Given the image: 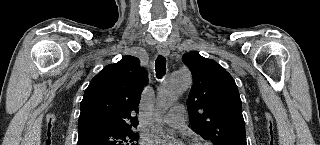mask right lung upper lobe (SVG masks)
I'll return each mask as SVG.
<instances>
[{
    "mask_svg": "<svg viewBox=\"0 0 320 145\" xmlns=\"http://www.w3.org/2000/svg\"><path fill=\"white\" fill-rule=\"evenodd\" d=\"M148 73L138 58L126 55L97 74L86 89L78 121L79 136L98 130L131 129Z\"/></svg>",
    "mask_w": 320,
    "mask_h": 145,
    "instance_id": "right-lung-upper-lobe-1",
    "label": "right lung upper lobe"
}]
</instances>
